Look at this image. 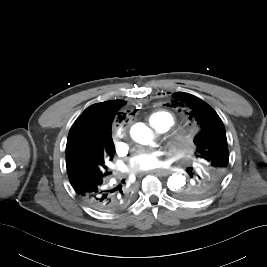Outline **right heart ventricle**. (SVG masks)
<instances>
[{
  "label": "right heart ventricle",
  "instance_id": "e07e8e85",
  "mask_svg": "<svg viewBox=\"0 0 267 267\" xmlns=\"http://www.w3.org/2000/svg\"><path fill=\"white\" fill-rule=\"evenodd\" d=\"M148 120L150 125L158 131L162 127H166L168 130L175 124V117L167 111L155 112L150 115Z\"/></svg>",
  "mask_w": 267,
  "mask_h": 267
}]
</instances>
